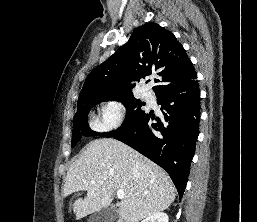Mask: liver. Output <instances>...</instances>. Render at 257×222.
I'll list each match as a JSON object with an SVG mask.
<instances>
[{"label": "liver", "mask_w": 257, "mask_h": 222, "mask_svg": "<svg viewBox=\"0 0 257 222\" xmlns=\"http://www.w3.org/2000/svg\"><path fill=\"white\" fill-rule=\"evenodd\" d=\"M81 190L87 196L72 206L77 220L108 207L116 190L125 194L117 211L125 222H139L175 200V187L162 168L111 138L90 142L70 166L63 196Z\"/></svg>", "instance_id": "6515ba94"}]
</instances>
